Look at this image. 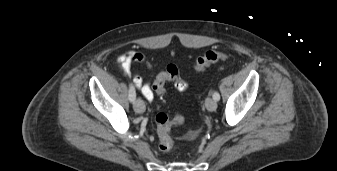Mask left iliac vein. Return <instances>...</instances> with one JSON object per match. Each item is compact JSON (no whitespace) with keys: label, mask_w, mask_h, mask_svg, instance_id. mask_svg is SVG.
<instances>
[{"label":"left iliac vein","mask_w":337,"mask_h":171,"mask_svg":"<svg viewBox=\"0 0 337 171\" xmlns=\"http://www.w3.org/2000/svg\"><path fill=\"white\" fill-rule=\"evenodd\" d=\"M205 106L209 111H215L217 108V103L214 99L208 97L205 101Z\"/></svg>","instance_id":"obj_1"}]
</instances>
